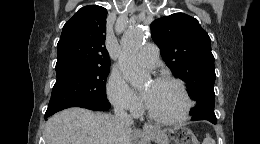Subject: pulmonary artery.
<instances>
[{"label":"pulmonary artery","instance_id":"e3ab8cb5","mask_svg":"<svg viewBox=\"0 0 260 144\" xmlns=\"http://www.w3.org/2000/svg\"><path fill=\"white\" fill-rule=\"evenodd\" d=\"M139 64L145 68L152 69L159 63V52L153 44L145 45L137 55Z\"/></svg>","mask_w":260,"mask_h":144}]
</instances>
